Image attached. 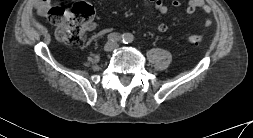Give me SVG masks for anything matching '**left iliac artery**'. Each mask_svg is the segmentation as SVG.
Masks as SVG:
<instances>
[{
    "instance_id": "44dca946",
    "label": "left iliac artery",
    "mask_w": 253,
    "mask_h": 138,
    "mask_svg": "<svg viewBox=\"0 0 253 138\" xmlns=\"http://www.w3.org/2000/svg\"><path fill=\"white\" fill-rule=\"evenodd\" d=\"M122 40L125 44H128L132 41V36L129 34H124Z\"/></svg>"
}]
</instances>
